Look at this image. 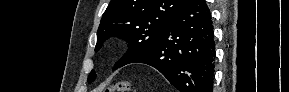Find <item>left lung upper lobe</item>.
<instances>
[{"label": "left lung upper lobe", "instance_id": "obj_1", "mask_svg": "<svg viewBox=\"0 0 289 92\" xmlns=\"http://www.w3.org/2000/svg\"><path fill=\"white\" fill-rule=\"evenodd\" d=\"M187 1L111 0L102 15L95 50H99L109 37L118 36L129 43V50L114 69L131 63L154 47L164 28ZM95 78L96 74L92 70L88 82L91 83Z\"/></svg>", "mask_w": 289, "mask_h": 92}]
</instances>
